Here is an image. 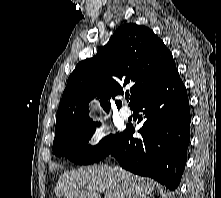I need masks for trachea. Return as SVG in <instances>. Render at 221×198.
<instances>
[{
  "label": "trachea",
  "mask_w": 221,
  "mask_h": 198,
  "mask_svg": "<svg viewBox=\"0 0 221 198\" xmlns=\"http://www.w3.org/2000/svg\"><path fill=\"white\" fill-rule=\"evenodd\" d=\"M129 97V94H126V98H128Z\"/></svg>",
  "instance_id": "obj_1"
}]
</instances>
